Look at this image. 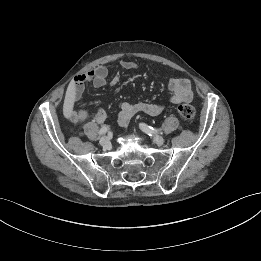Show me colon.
Listing matches in <instances>:
<instances>
[{
    "label": "colon",
    "instance_id": "5ec220e1",
    "mask_svg": "<svg viewBox=\"0 0 261 261\" xmlns=\"http://www.w3.org/2000/svg\"><path fill=\"white\" fill-rule=\"evenodd\" d=\"M178 114L186 119V120H192L194 119L196 115L195 108L190 104H181L176 108ZM87 117V112L84 109L79 110L76 113V119L77 121H82Z\"/></svg>",
    "mask_w": 261,
    "mask_h": 261
}]
</instances>
